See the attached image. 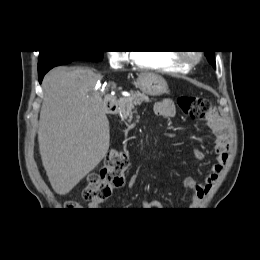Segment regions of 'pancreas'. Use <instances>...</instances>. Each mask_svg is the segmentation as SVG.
<instances>
[{
    "instance_id": "1",
    "label": "pancreas",
    "mask_w": 260,
    "mask_h": 260,
    "mask_svg": "<svg viewBox=\"0 0 260 260\" xmlns=\"http://www.w3.org/2000/svg\"><path fill=\"white\" fill-rule=\"evenodd\" d=\"M150 102L148 96L140 92H131L128 97H121L118 100L120 116L123 120L131 121L133 114L135 113V107L140 105L142 102Z\"/></svg>"
}]
</instances>
